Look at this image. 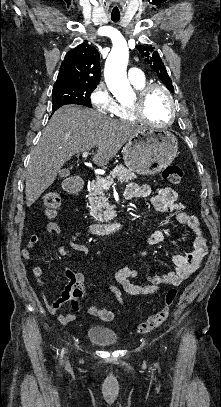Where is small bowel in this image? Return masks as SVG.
Masks as SVG:
<instances>
[{
	"mask_svg": "<svg viewBox=\"0 0 221 407\" xmlns=\"http://www.w3.org/2000/svg\"><path fill=\"white\" fill-rule=\"evenodd\" d=\"M135 197H148L152 207L158 211L166 213H174L177 220L187 226L192 235V250L186 254L175 255L172 259L175 270L162 274H150L143 275L138 270L122 267L117 270L116 280L118 285L110 284L109 289L114 294L118 302L122 305H127L123 299L122 290L131 295H152L166 286H177L184 280H186L192 273H194L200 266L203 257L207 254V241L203 234L199 220L190 214L186 210V205L178 201V193L176 190L170 187H159L152 194V190L148 185L131 184L124 192V198L131 200ZM47 231L50 233H61V229L56 225L54 229L47 226ZM164 231L158 230L152 234L148 243L150 245H156L164 240ZM83 233L81 230L75 231L70 237V244L73 248L79 251H85V247L77 244V241L82 238ZM39 241L38 235H32L27 244L22 249L21 255L24 260H30L32 256V250ZM58 253L62 257L71 258V250L65 245H60L57 249ZM146 253L141 254V258H144ZM31 273L40 286L44 285L43 272L38 266L32 268ZM64 274L68 279V282L63 289L59 297L54 301L49 302L45 295H43L44 303L47 310L56 315L60 308L67 303L73 301V296L68 290V286L74 282H79L82 285L86 281V274L84 272L74 271L71 269H65ZM136 281V283H133ZM83 288V297H84ZM75 315L72 314H59L58 320L61 324L67 325L75 319Z\"/></svg>",
	"mask_w": 221,
	"mask_h": 407,
	"instance_id": "small-bowel-1",
	"label": "small bowel"
}]
</instances>
